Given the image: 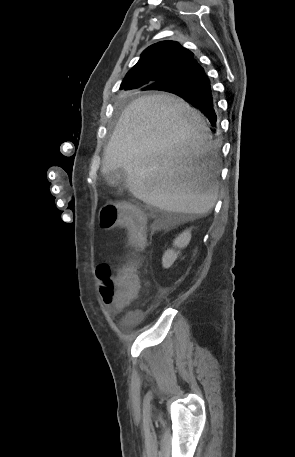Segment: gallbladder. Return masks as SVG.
<instances>
[{
    "label": "gallbladder",
    "instance_id": "bac80fb5",
    "mask_svg": "<svg viewBox=\"0 0 295 457\" xmlns=\"http://www.w3.org/2000/svg\"><path fill=\"white\" fill-rule=\"evenodd\" d=\"M127 179V173L123 168H119L106 175V181L109 185L115 186L124 183Z\"/></svg>",
    "mask_w": 295,
    "mask_h": 457
}]
</instances>
